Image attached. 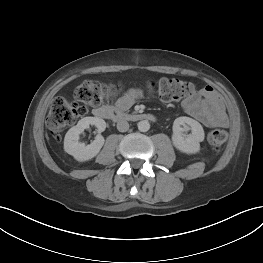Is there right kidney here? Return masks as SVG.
I'll return each instance as SVG.
<instances>
[{
  "instance_id": "1",
  "label": "right kidney",
  "mask_w": 263,
  "mask_h": 263,
  "mask_svg": "<svg viewBox=\"0 0 263 263\" xmlns=\"http://www.w3.org/2000/svg\"><path fill=\"white\" fill-rule=\"evenodd\" d=\"M90 125L98 128L99 134L95 140L89 144L79 142V135ZM106 128V122L98 117H85L79 120L76 126L70 128L64 138V150L72 155L77 161L83 162L94 158L104 144V138L100 134Z\"/></svg>"
}]
</instances>
